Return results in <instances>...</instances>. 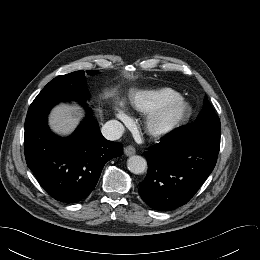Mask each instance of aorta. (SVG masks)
I'll return each mask as SVG.
<instances>
[{"mask_svg": "<svg viewBox=\"0 0 260 260\" xmlns=\"http://www.w3.org/2000/svg\"><path fill=\"white\" fill-rule=\"evenodd\" d=\"M127 167L134 174H142L147 168V162L143 157L134 155L127 160Z\"/></svg>", "mask_w": 260, "mask_h": 260, "instance_id": "aorta-1", "label": "aorta"}]
</instances>
